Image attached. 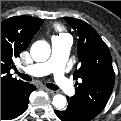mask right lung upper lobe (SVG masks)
Here are the masks:
<instances>
[{
    "instance_id": "1",
    "label": "right lung upper lobe",
    "mask_w": 121,
    "mask_h": 121,
    "mask_svg": "<svg viewBox=\"0 0 121 121\" xmlns=\"http://www.w3.org/2000/svg\"><path fill=\"white\" fill-rule=\"evenodd\" d=\"M43 20L31 16H14L1 22V93L11 86L23 83L10 74L13 60L25 50Z\"/></svg>"
}]
</instances>
